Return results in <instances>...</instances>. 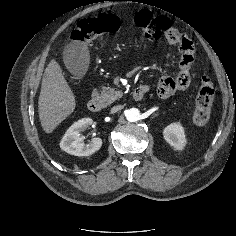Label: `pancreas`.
Segmentation results:
<instances>
[{
  "mask_svg": "<svg viewBox=\"0 0 236 236\" xmlns=\"http://www.w3.org/2000/svg\"><path fill=\"white\" fill-rule=\"evenodd\" d=\"M93 96L107 106L122 97V92L110 87H102L100 93L95 90Z\"/></svg>",
  "mask_w": 236,
  "mask_h": 236,
  "instance_id": "1",
  "label": "pancreas"
}]
</instances>
